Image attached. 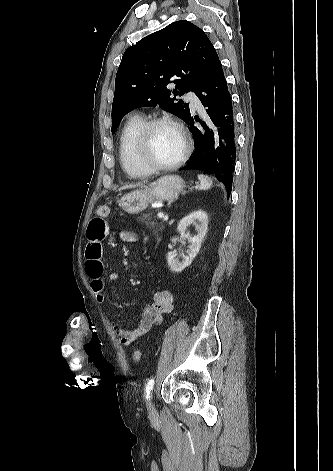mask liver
<instances>
[{
    "mask_svg": "<svg viewBox=\"0 0 333 471\" xmlns=\"http://www.w3.org/2000/svg\"><path fill=\"white\" fill-rule=\"evenodd\" d=\"M138 186H140V184H130V185H125V186L121 187L120 189L125 190V189L135 188V187H138Z\"/></svg>",
    "mask_w": 333,
    "mask_h": 471,
    "instance_id": "1",
    "label": "liver"
}]
</instances>
